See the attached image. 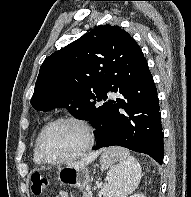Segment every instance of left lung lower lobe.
Returning a JSON list of instances; mask_svg holds the SVG:
<instances>
[{"instance_id": "left-lung-lower-lobe-1", "label": "left lung lower lobe", "mask_w": 191, "mask_h": 197, "mask_svg": "<svg viewBox=\"0 0 191 197\" xmlns=\"http://www.w3.org/2000/svg\"><path fill=\"white\" fill-rule=\"evenodd\" d=\"M89 123L96 128L95 150L122 146L163 162V132L157 90L149 68L129 70Z\"/></svg>"}]
</instances>
